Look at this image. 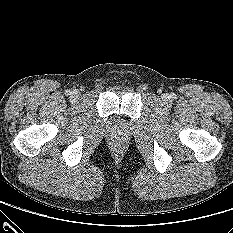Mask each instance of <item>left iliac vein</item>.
<instances>
[{
  "label": "left iliac vein",
  "instance_id": "4c4485c4",
  "mask_svg": "<svg viewBox=\"0 0 233 233\" xmlns=\"http://www.w3.org/2000/svg\"><path fill=\"white\" fill-rule=\"evenodd\" d=\"M164 101H167V97H164Z\"/></svg>",
  "mask_w": 233,
  "mask_h": 233
}]
</instances>
